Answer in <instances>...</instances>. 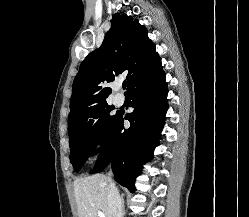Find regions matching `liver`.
<instances>
[{"label": "liver", "instance_id": "6515ba94", "mask_svg": "<svg viewBox=\"0 0 249 217\" xmlns=\"http://www.w3.org/2000/svg\"><path fill=\"white\" fill-rule=\"evenodd\" d=\"M108 178L95 174L74 181L78 217H98V211L109 217Z\"/></svg>", "mask_w": 249, "mask_h": 217}]
</instances>
